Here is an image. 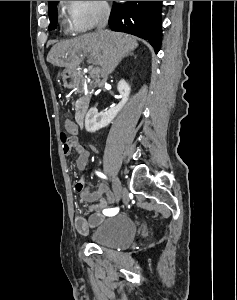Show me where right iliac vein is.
Returning <instances> with one entry per match:
<instances>
[{"instance_id":"63e3f726","label":"right iliac vein","mask_w":237,"mask_h":300,"mask_svg":"<svg viewBox=\"0 0 237 300\" xmlns=\"http://www.w3.org/2000/svg\"><path fill=\"white\" fill-rule=\"evenodd\" d=\"M123 187L121 184V181L116 178L113 184V191H114V202L118 203L120 197H121V193H122Z\"/></svg>"}]
</instances>
